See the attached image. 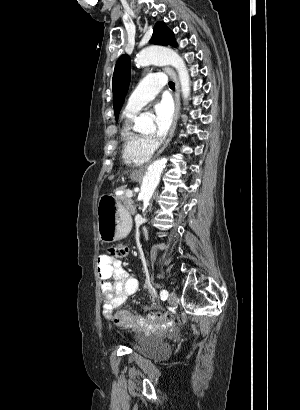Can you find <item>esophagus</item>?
I'll use <instances>...</instances> for the list:
<instances>
[{
    "label": "esophagus",
    "mask_w": 300,
    "mask_h": 410,
    "mask_svg": "<svg viewBox=\"0 0 300 410\" xmlns=\"http://www.w3.org/2000/svg\"><path fill=\"white\" fill-rule=\"evenodd\" d=\"M164 70L173 79V81L175 83V94H174L175 114H174V120H173L172 126H171L170 131H169L168 138L166 139V141L164 142V144L162 145V147L158 151L157 156L159 154H161L164 151V149L168 146V144L170 143V141L173 137V134L175 132V129H176V126H177V121H178V118H179V113H180V85H179L178 77H177L175 71L172 68L165 67ZM143 172H144V167L140 168L136 173H143Z\"/></svg>",
    "instance_id": "esophagus-1"
}]
</instances>
